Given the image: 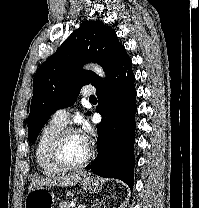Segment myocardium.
I'll return each mask as SVG.
<instances>
[{"label":"myocardium","instance_id":"1","mask_svg":"<svg viewBox=\"0 0 199 208\" xmlns=\"http://www.w3.org/2000/svg\"><path fill=\"white\" fill-rule=\"evenodd\" d=\"M78 133L75 128L66 127L62 129L53 139L49 148V157L52 164L61 171H76L85 167L92 159L94 155L93 149L89 146L87 156L76 164L67 163L62 156V146L67 137L71 134Z\"/></svg>","mask_w":199,"mask_h":208}]
</instances>
